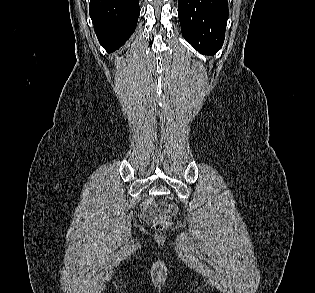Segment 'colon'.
Returning a JSON list of instances; mask_svg holds the SVG:
<instances>
[{
	"label": "colon",
	"mask_w": 315,
	"mask_h": 293,
	"mask_svg": "<svg viewBox=\"0 0 315 293\" xmlns=\"http://www.w3.org/2000/svg\"><path fill=\"white\" fill-rule=\"evenodd\" d=\"M153 207V203L151 201H148L144 205L145 210H150ZM160 212L154 219L153 224L154 227L158 230H164L167 229L171 225L170 218L164 213V211L172 210L173 208L168 205H160Z\"/></svg>",
	"instance_id": "5ec220e1"
}]
</instances>
